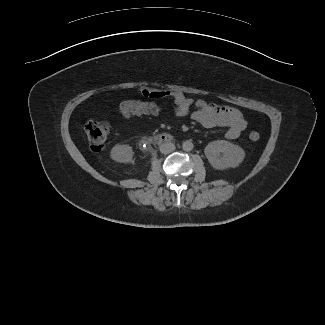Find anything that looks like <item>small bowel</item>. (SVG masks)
Returning <instances> with one entry per match:
<instances>
[{"label": "small bowel", "mask_w": 325, "mask_h": 325, "mask_svg": "<svg viewBox=\"0 0 325 325\" xmlns=\"http://www.w3.org/2000/svg\"><path fill=\"white\" fill-rule=\"evenodd\" d=\"M139 96L145 100L173 98L174 114L177 117L190 116L194 122L205 128L227 127L226 138L229 140L237 139L246 128V121L238 109L205 100L194 102L177 88H145L139 92Z\"/></svg>", "instance_id": "c3829d8e"}]
</instances>
